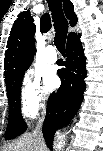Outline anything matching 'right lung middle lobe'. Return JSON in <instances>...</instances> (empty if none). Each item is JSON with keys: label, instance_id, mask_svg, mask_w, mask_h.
I'll return each mask as SVG.
<instances>
[{"label": "right lung middle lobe", "instance_id": "right-lung-middle-lobe-1", "mask_svg": "<svg viewBox=\"0 0 103 151\" xmlns=\"http://www.w3.org/2000/svg\"><path fill=\"white\" fill-rule=\"evenodd\" d=\"M24 74L16 79L10 86L6 87L9 100V120L5 139L10 140L25 132L26 123L21 115L20 91Z\"/></svg>", "mask_w": 103, "mask_h": 151}]
</instances>
